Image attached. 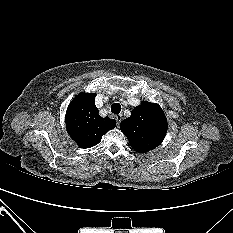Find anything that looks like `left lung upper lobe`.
Returning a JSON list of instances; mask_svg holds the SVG:
<instances>
[{
  "label": "left lung upper lobe",
  "instance_id": "5c2ea615",
  "mask_svg": "<svg viewBox=\"0 0 233 233\" xmlns=\"http://www.w3.org/2000/svg\"><path fill=\"white\" fill-rule=\"evenodd\" d=\"M167 128V119L161 107L147 101L135 107L131 116L120 124V129L128 138L131 147L139 153L159 146L165 138Z\"/></svg>",
  "mask_w": 233,
  "mask_h": 233
}]
</instances>
